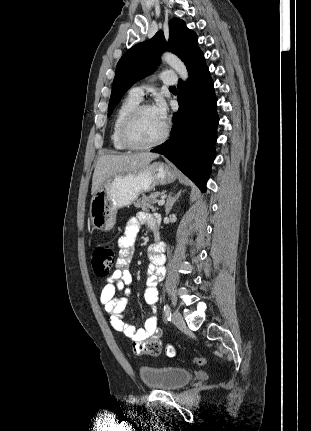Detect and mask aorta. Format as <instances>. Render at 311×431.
<instances>
[{"instance_id": "obj_1", "label": "aorta", "mask_w": 311, "mask_h": 431, "mask_svg": "<svg viewBox=\"0 0 311 431\" xmlns=\"http://www.w3.org/2000/svg\"><path fill=\"white\" fill-rule=\"evenodd\" d=\"M162 60L163 62H166L172 70H175L177 74H179L181 80H187L188 78V72L186 70L185 64L175 56V54H170V52H165V54H162Z\"/></svg>"}]
</instances>
